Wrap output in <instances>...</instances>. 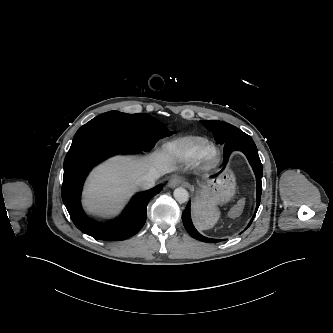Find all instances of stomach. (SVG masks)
I'll use <instances>...</instances> for the list:
<instances>
[{
  "label": "stomach",
  "instance_id": "stomach-1",
  "mask_svg": "<svg viewBox=\"0 0 333 333\" xmlns=\"http://www.w3.org/2000/svg\"><path fill=\"white\" fill-rule=\"evenodd\" d=\"M235 190L236 178L228 167L217 177L199 182L192 204L195 225L199 229L212 228L220 217L218 205L229 202Z\"/></svg>",
  "mask_w": 333,
  "mask_h": 333
}]
</instances>
